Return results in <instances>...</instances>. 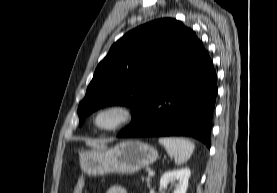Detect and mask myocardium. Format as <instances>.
I'll list each match as a JSON object with an SVG mask.
<instances>
[{
    "label": "myocardium",
    "instance_id": "obj_1",
    "mask_svg": "<svg viewBox=\"0 0 277 193\" xmlns=\"http://www.w3.org/2000/svg\"><path fill=\"white\" fill-rule=\"evenodd\" d=\"M107 112H113L117 115L116 121L107 127L97 124V118ZM135 119V110L128 104L121 102H111L98 107L91 116V123L95 129L101 132L111 133L122 130L129 126Z\"/></svg>",
    "mask_w": 277,
    "mask_h": 193
}]
</instances>
